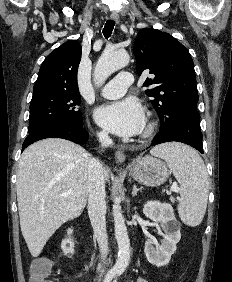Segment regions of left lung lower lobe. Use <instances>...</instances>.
Here are the masks:
<instances>
[{
    "instance_id": "left-lung-lower-lobe-1",
    "label": "left lung lower lobe",
    "mask_w": 232,
    "mask_h": 282,
    "mask_svg": "<svg viewBox=\"0 0 232 282\" xmlns=\"http://www.w3.org/2000/svg\"><path fill=\"white\" fill-rule=\"evenodd\" d=\"M160 130L151 146L177 141L188 144L203 154L200 114L186 104L177 105L167 116L160 118Z\"/></svg>"
}]
</instances>
